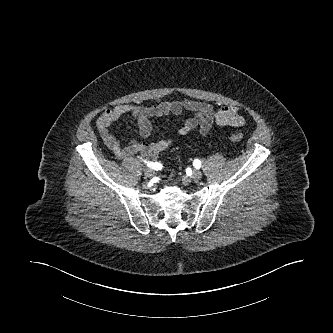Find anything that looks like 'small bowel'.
I'll return each mask as SVG.
<instances>
[{"instance_id": "obj_1", "label": "small bowel", "mask_w": 333, "mask_h": 333, "mask_svg": "<svg viewBox=\"0 0 333 333\" xmlns=\"http://www.w3.org/2000/svg\"><path fill=\"white\" fill-rule=\"evenodd\" d=\"M186 112L191 113V116L179 128L178 134L181 136H186L193 131H197L200 136H205L214 123L229 127L244 125V119L235 108L214 111L206 103L184 99L166 100L151 106L120 104L103 112L97 118L96 127L103 142L116 158L125 159L140 154L152 159L168 150L173 144V140L163 139L153 142L132 140L123 146L111 131L113 123L122 116L129 115L131 119L136 121L140 136L147 139L152 133V119L170 114L182 115Z\"/></svg>"}]
</instances>
